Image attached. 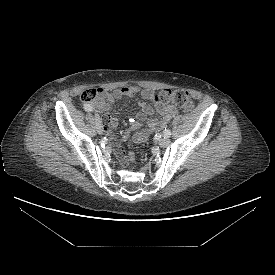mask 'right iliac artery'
Instances as JSON below:
<instances>
[{
  "mask_svg": "<svg viewBox=\"0 0 275 275\" xmlns=\"http://www.w3.org/2000/svg\"><path fill=\"white\" fill-rule=\"evenodd\" d=\"M84 109L87 112H92L93 111V107L90 104H85ZM95 116H98V114H95Z\"/></svg>",
  "mask_w": 275,
  "mask_h": 275,
  "instance_id": "82829eb1",
  "label": "right iliac artery"
}]
</instances>
